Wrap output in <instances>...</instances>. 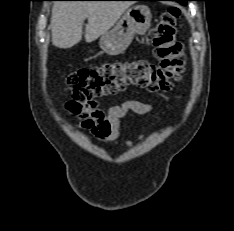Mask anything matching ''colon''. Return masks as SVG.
Instances as JSON below:
<instances>
[{
	"mask_svg": "<svg viewBox=\"0 0 234 231\" xmlns=\"http://www.w3.org/2000/svg\"><path fill=\"white\" fill-rule=\"evenodd\" d=\"M177 7L163 12L154 28L152 45L158 64L147 61H117L72 72L66 87L72 94L71 109L99 97L135 86L149 91H167L185 70V55L177 38Z\"/></svg>",
	"mask_w": 234,
	"mask_h": 231,
	"instance_id": "5ec220e1",
	"label": "colon"
}]
</instances>
